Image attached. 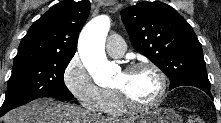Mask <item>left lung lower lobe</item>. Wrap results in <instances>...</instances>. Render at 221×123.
Listing matches in <instances>:
<instances>
[{
  "mask_svg": "<svg viewBox=\"0 0 221 123\" xmlns=\"http://www.w3.org/2000/svg\"><path fill=\"white\" fill-rule=\"evenodd\" d=\"M201 90H203L204 92H206L211 98H212V95L210 93V88H205V87H199V86H195ZM213 99V98H212Z\"/></svg>",
  "mask_w": 221,
  "mask_h": 123,
  "instance_id": "1",
  "label": "left lung lower lobe"
}]
</instances>
